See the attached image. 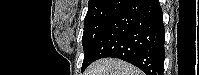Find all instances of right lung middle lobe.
Returning a JSON list of instances; mask_svg holds the SVG:
<instances>
[{"label":"right lung middle lobe","instance_id":"1","mask_svg":"<svg viewBox=\"0 0 199 75\" xmlns=\"http://www.w3.org/2000/svg\"><path fill=\"white\" fill-rule=\"evenodd\" d=\"M128 0H108L103 4L88 8L85 17L82 45L84 49V60L82 69L90 61V54L107 26L125 6Z\"/></svg>","mask_w":199,"mask_h":75}]
</instances>
